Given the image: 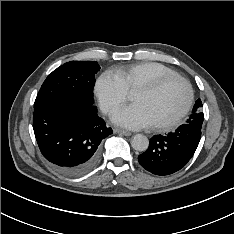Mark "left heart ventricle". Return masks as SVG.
Segmentation results:
<instances>
[{
    "label": "left heart ventricle",
    "mask_w": 234,
    "mask_h": 234,
    "mask_svg": "<svg viewBox=\"0 0 234 234\" xmlns=\"http://www.w3.org/2000/svg\"><path fill=\"white\" fill-rule=\"evenodd\" d=\"M186 99L187 91L180 81H172L152 94L133 95V102L144 109L152 125L174 118L184 107Z\"/></svg>",
    "instance_id": "1"
}]
</instances>
